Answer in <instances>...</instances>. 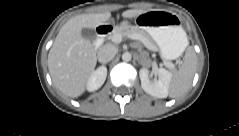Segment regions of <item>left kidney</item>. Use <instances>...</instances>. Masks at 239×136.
Returning <instances> with one entry per match:
<instances>
[{
  "instance_id": "obj_1",
  "label": "left kidney",
  "mask_w": 239,
  "mask_h": 136,
  "mask_svg": "<svg viewBox=\"0 0 239 136\" xmlns=\"http://www.w3.org/2000/svg\"><path fill=\"white\" fill-rule=\"evenodd\" d=\"M157 73L158 81L151 82L149 80V70L147 68L140 69L139 76L142 89L156 98H166L169 93L172 73L164 68H159Z\"/></svg>"
}]
</instances>
